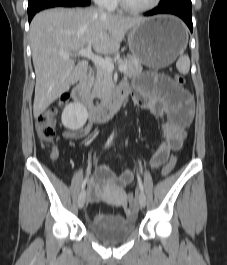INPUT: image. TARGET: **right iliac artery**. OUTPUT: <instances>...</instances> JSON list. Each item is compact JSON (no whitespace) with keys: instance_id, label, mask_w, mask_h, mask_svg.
<instances>
[{"instance_id":"82829eb1","label":"right iliac artery","mask_w":227,"mask_h":265,"mask_svg":"<svg viewBox=\"0 0 227 265\" xmlns=\"http://www.w3.org/2000/svg\"><path fill=\"white\" fill-rule=\"evenodd\" d=\"M113 137H114V132L110 135V137L108 138V140H107V142H106V144H105V147H108L110 144H111V142H112V140H113ZM87 177L83 180V182H82V184H81V191H83L84 190V188H85V186H86V183H87Z\"/></svg>"}]
</instances>
